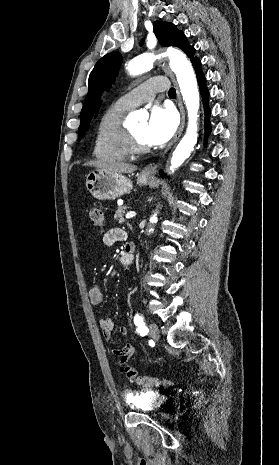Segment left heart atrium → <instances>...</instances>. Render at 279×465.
Listing matches in <instances>:
<instances>
[{
  "label": "left heart atrium",
  "mask_w": 279,
  "mask_h": 465,
  "mask_svg": "<svg viewBox=\"0 0 279 465\" xmlns=\"http://www.w3.org/2000/svg\"><path fill=\"white\" fill-rule=\"evenodd\" d=\"M177 124V116L171 108L153 107L145 127L147 143L149 145L164 144L175 133Z\"/></svg>",
  "instance_id": "left-heart-atrium-1"
}]
</instances>
